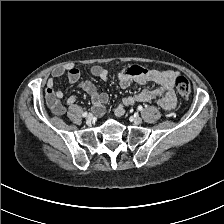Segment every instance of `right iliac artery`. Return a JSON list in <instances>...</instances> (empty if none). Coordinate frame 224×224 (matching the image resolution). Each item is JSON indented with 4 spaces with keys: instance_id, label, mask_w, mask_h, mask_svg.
I'll use <instances>...</instances> for the list:
<instances>
[{
    "instance_id": "right-iliac-artery-1",
    "label": "right iliac artery",
    "mask_w": 224,
    "mask_h": 224,
    "mask_svg": "<svg viewBox=\"0 0 224 224\" xmlns=\"http://www.w3.org/2000/svg\"><path fill=\"white\" fill-rule=\"evenodd\" d=\"M87 115H88L87 111L82 114L83 117H86Z\"/></svg>"
}]
</instances>
